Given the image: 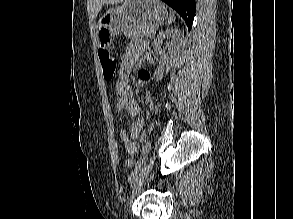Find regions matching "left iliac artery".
Here are the masks:
<instances>
[{"label":"left iliac artery","instance_id":"left-iliac-artery-1","mask_svg":"<svg viewBox=\"0 0 293 219\" xmlns=\"http://www.w3.org/2000/svg\"><path fill=\"white\" fill-rule=\"evenodd\" d=\"M151 150V144L149 141L146 142L145 144V148H144V154L140 160V163L138 165V169L141 170V168L143 169V166H145L147 160H148V155H149V152Z\"/></svg>","mask_w":293,"mask_h":219}]
</instances>
